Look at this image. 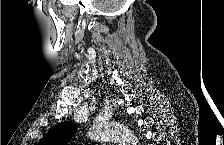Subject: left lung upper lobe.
<instances>
[{
  "label": "left lung upper lobe",
  "mask_w": 224,
  "mask_h": 145,
  "mask_svg": "<svg viewBox=\"0 0 224 145\" xmlns=\"http://www.w3.org/2000/svg\"><path fill=\"white\" fill-rule=\"evenodd\" d=\"M76 131L72 122H62L49 131L40 141L39 145H67Z\"/></svg>",
  "instance_id": "5c2ea615"
}]
</instances>
